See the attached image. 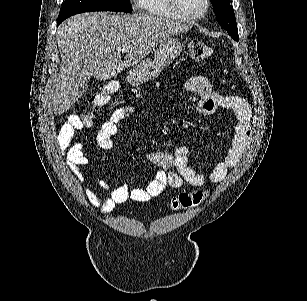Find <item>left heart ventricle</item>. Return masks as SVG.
Wrapping results in <instances>:
<instances>
[{
  "instance_id": "obj_1",
  "label": "left heart ventricle",
  "mask_w": 307,
  "mask_h": 301,
  "mask_svg": "<svg viewBox=\"0 0 307 301\" xmlns=\"http://www.w3.org/2000/svg\"><path fill=\"white\" fill-rule=\"evenodd\" d=\"M178 2V9H175V13H190L191 11H200V3L202 0H181Z\"/></svg>"
}]
</instances>
